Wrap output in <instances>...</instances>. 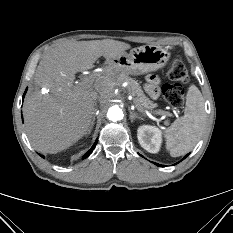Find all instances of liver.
<instances>
[{"mask_svg": "<svg viewBox=\"0 0 233 233\" xmlns=\"http://www.w3.org/2000/svg\"><path fill=\"white\" fill-rule=\"evenodd\" d=\"M129 48L128 43L104 39L66 41L47 51L35 72V90L23 105L26 132L34 149L58 153L87 134L97 92L104 94L112 80L101 77L94 83L95 90L83 89L74 84L75 74L93 68L101 56L109 63Z\"/></svg>", "mask_w": 233, "mask_h": 233, "instance_id": "liver-1", "label": "liver"}]
</instances>
